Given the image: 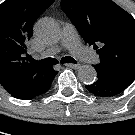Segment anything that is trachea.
I'll return each instance as SVG.
<instances>
[{
  "instance_id": "1",
  "label": "trachea",
  "mask_w": 135,
  "mask_h": 135,
  "mask_svg": "<svg viewBox=\"0 0 135 135\" xmlns=\"http://www.w3.org/2000/svg\"><path fill=\"white\" fill-rule=\"evenodd\" d=\"M31 62L33 64H36L37 66H41V67H45V66H52V65H56L58 63V61L54 58H46L40 61H36L34 59L31 60ZM61 63H76V60L73 59L70 56H66L61 58Z\"/></svg>"
}]
</instances>
